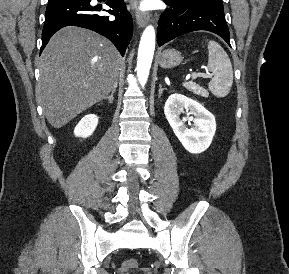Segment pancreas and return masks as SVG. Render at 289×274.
Masks as SVG:
<instances>
[{
  "instance_id": "pancreas-1",
  "label": "pancreas",
  "mask_w": 289,
  "mask_h": 274,
  "mask_svg": "<svg viewBox=\"0 0 289 274\" xmlns=\"http://www.w3.org/2000/svg\"><path fill=\"white\" fill-rule=\"evenodd\" d=\"M184 87L196 95H200L202 97L209 96L208 92L196 83H186L184 84Z\"/></svg>"
}]
</instances>
